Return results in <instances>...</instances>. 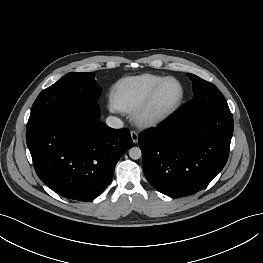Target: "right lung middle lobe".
Here are the masks:
<instances>
[{"instance_id":"obj_1","label":"right lung middle lobe","mask_w":263,"mask_h":263,"mask_svg":"<svg viewBox=\"0 0 263 263\" xmlns=\"http://www.w3.org/2000/svg\"><path fill=\"white\" fill-rule=\"evenodd\" d=\"M100 92L93 72L68 73L38 95L26 129L42 124L62 110L74 114L82 110L87 101L97 102Z\"/></svg>"}]
</instances>
